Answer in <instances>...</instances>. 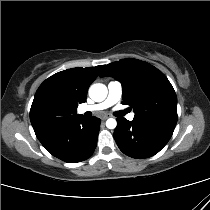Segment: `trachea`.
<instances>
[{"instance_id": "obj_1", "label": "trachea", "mask_w": 210, "mask_h": 210, "mask_svg": "<svg viewBox=\"0 0 210 210\" xmlns=\"http://www.w3.org/2000/svg\"><path fill=\"white\" fill-rule=\"evenodd\" d=\"M126 113H127V111H118L115 113V115L120 117V116L125 115Z\"/></svg>"}]
</instances>
